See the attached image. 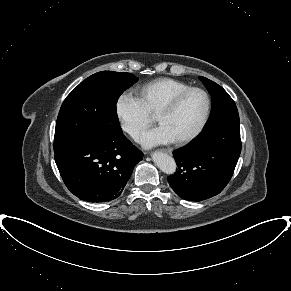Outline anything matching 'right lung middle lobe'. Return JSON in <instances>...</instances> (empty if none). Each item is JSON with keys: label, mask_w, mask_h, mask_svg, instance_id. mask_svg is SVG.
Segmentation results:
<instances>
[{"label": "right lung middle lobe", "mask_w": 291, "mask_h": 291, "mask_svg": "<svg viewBox=\"0 0 291 291\" xmlns=\"http://www.w3.org/2000/svg\"><path fill=\"white\" fill-rule=\"evenodd\" d=\"M137 80L131 73L101 71L82 81L60 108L54 152L80 138L121 133L116 104L120 95Z\"/></svg>", "instance_id": "1"}]
</instances>
